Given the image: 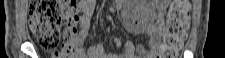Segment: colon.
<instances>
[{"label":"colon","mask_w":225,"mask_h":58,"mask_svg":"<svg viewBox=\"0 0 225 58\" xmlns=\"http://www.w3.org/2000/svg\"><path fill=\"white\" fill-rule=\"evenodd\" d=\"M187 1L175 0L167 12L166 34L158 48L162 58H176L186 37ZM78 10L70 0H32L30 26L40 47L56 58H75Z\"/></svg>","instance_id":"1"}]
</instances>
